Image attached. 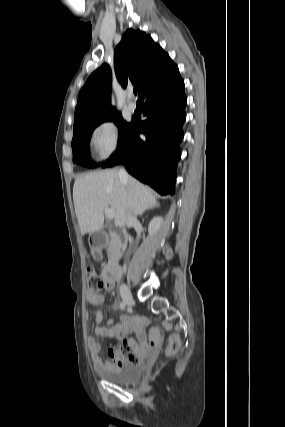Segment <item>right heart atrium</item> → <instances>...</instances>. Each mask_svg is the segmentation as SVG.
<instances>
[{
	"label": "right heart atrium",
	"mask_w": 285,
	"mask_h": 427,
	"mask_svg": "<svg viewBox=\"0 0 285 427\" xmlns=\"http://www.w3.org/2000/svg\"><path fill=\"white\" fill-rule=\"evenodd\" d=\"M89 142L94 156L101 161L107 160L120 144L117 124L112 120L100 121L93 127Z\"/></svg>",
	"instance_id": "right-heart-atrium-1"
}]
</instances>
